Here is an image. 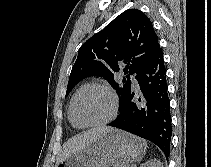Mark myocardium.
<instances>
[{
  "instance_id": "myocardium-1",
  "label": "myocardium",
  "mask_w": 211,
  "mask_h": 167,
  "mask_svg": "<svg viewBox=\"0 0 211 167\" xmlns=\"http://www.w3.org/2000/svg\"><path fill=\"white\" fill-rule=\"evenodd\" d=\"M90 88H100L109 94V96L111 97V100H112V112L109 117H107L106 119H104L102 121L93 122V123H82L75 116V106H76V102H77L79 96L83 92H85L86 90H88ZM118 109H119V100H118V97H117L115 91L109 85H107L105 83L91 82V83H88V84L84 85L83 87H81L73 96V99H72L71 105H70V118H71L72 122L77 127H80V128L99 127V126H103V125H106V124H109L110 122H112L117 116Z\"/></svg>"
}]
</instances>
